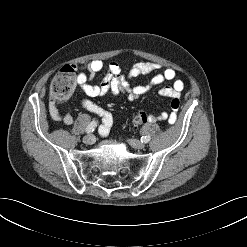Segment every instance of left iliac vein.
<instances>
[{"label": "left iliac vein", "mask_w": 247, "mask_h": 247, "mask_svg": "<svg viewBox=\"0 0 247 247\" xmlns=\"http://www.w3.org/2000/svg\"><path fill=\"white\" fill-rule=\"evenodd\" d=\"M128 143L135 149H143L145 147L144 143L135 139H129Z\"/></svg>", "instance_id": "obj_1"}]
</instances>
